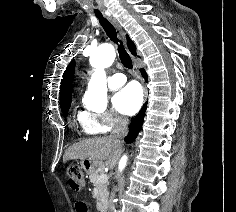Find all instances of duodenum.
<instances>
[{
	"mask_svg": "<svg viewBox=\"0 0 236 212\" xmlns=\"http://www.w3.org/2000/svg\"><path fill=\"white\" fill-rule=\"evenodd\" d=\"M103 212H109V209L108 208H105L102 210Z\"/></svg>",
	"mask_w": 236,
	"mask_h": 212,
	"instance_id": "410a0bca",
	"label": "duodenum"
}]
</instances>
